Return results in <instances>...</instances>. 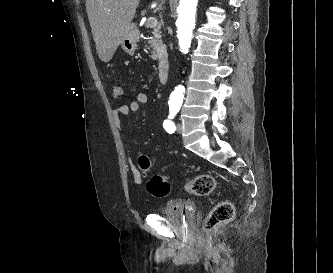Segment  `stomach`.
Segmentation results:
<instances>
[{
  "label": "stomach",
  "mask_w": 333,
  "mask_h": 273,
  "mask_svg": "<svg viewBox=\"0 0 333 273\" xmlns=\"http://www.w3.org/2000/svg\"><path fill=\"white\" fill-rule=\"evenodd\" d=\"M137 42L138 35L136 31L131 28L126 37L121 42V47L126 53L133 54L137 48Z\"/></svg>",
  "instance_id": "stomach-1"
}]
</instances>
